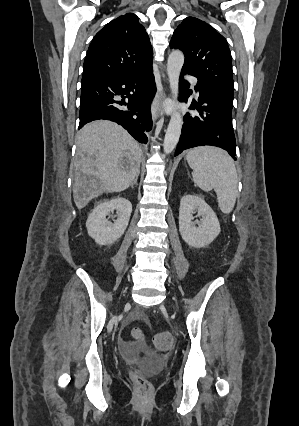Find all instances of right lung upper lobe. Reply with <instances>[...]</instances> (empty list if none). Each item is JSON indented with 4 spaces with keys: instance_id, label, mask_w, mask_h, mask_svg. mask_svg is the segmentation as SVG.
Instances as JSON below:
<instances>
[{
    "instance_id": "obj_1",
    "label": "right lung upper lobe",
    "mask_w": 299,
    "mask_h": 426,
    "mask_svg": "<svg viewBox=\"0 0 299 426\" xmlns=\"http://www.w3.org/2000/svg\"><path fill=\"white\" fill-rule=\"evenodd\" d=\"M152 47L135 14L127 13L105 25L93 38L82 82L109 80L152 66Z\"/></svg>"
}]
</instances>
